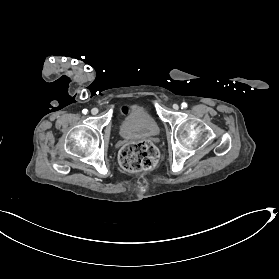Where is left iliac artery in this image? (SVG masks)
I'll use <instances>...</instances> for the list:
<instances>
[{"instance_id": "obj_1", "label": "left iliac artery", "mask_w": 279, "mask_h": 279, "mask_svg": "<svg viewBox=\"0 0 279 279\" xmlns=\"http://www.w3.org/2000/svg\"><path fill=\"white\" fill-rule=\"evenodd\" d=\"M181 106H182V108H186V107H187V103L183 102V103L181 104Z\"/></svg>"}]
</instances>
